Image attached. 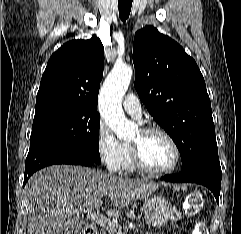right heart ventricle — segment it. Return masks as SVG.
Instances as JSON below:
<instances>
[{
    "instance_id": "1",
    "label": "right heart ventricle",
    "mask_w": 241,
    "mask_h": 234,
    "mask_svg": "<svg viewBox=\"0 0 241 234\" xmlns=\"http://www.w3.org/2000/svg\"><path fill=\"white\" fill-rule=\"evenodd\" d=\"M120 170L124 172L136 171V167L134 166L131 158V150H130L129 143H123V152L121 157Z\"/></svg>"
}]
</instances>
